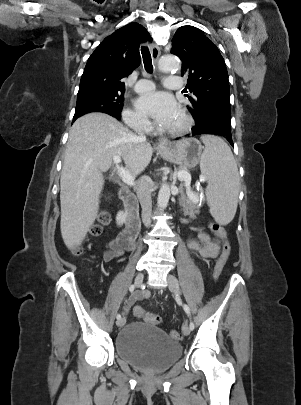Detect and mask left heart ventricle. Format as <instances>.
<instances>
[{
    "label": "left heart ventricle",
    "instance_id": "1",
    "mask_svg": "<svg viewBox=\"0 0 301 405\" xmlns=\"http://www.w3.org/2000/svg\"><path fill=\"white\" fill-rule=\"evenodd\" d=\"M181 123V118L179 117L178 119H176L173 123H171L170 125L166 126V128H175L177 126H179Z\"/></svg>",
    "mask_w": 301,
    "mask_h": 405
}]
</instances>
